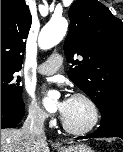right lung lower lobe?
Segmentation results:
<instances>
[{
    "label": "right lung lower lobe",
    "instance_id": "98d812e1",
    "mask_svg": "<svg viewBox=\"0 0 123 152\" xmlns=\"http://www.w3.org/2000/svg\"><path fill=\"white\" fill-rule=\"evenodd\" d=\"M25 114L23 108H15L1 104V129L15 127Z\"/></svg>",
    "mask_w": 123,
    "mask_h": 152
}]
</instances>
